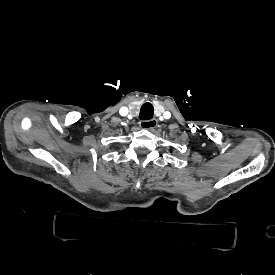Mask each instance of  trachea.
Segmentation results:
<instances>
[{
    "label": "trachea",
    "mask_w": 275,
    "mask_h": 275,
    "mask_svg": "<svg viewBox=\"0 0 275 275\" xmlns=\"http://www.w3.org/2000/svg\"><path fill=\"white\" fill-rule=\"evenodd\" d=\"M154 107L151 103L146 102L141 106L139 119L140 120H149L153 118Z\"/></svg>",
    "instance_id": "1"
}]
</instances>
